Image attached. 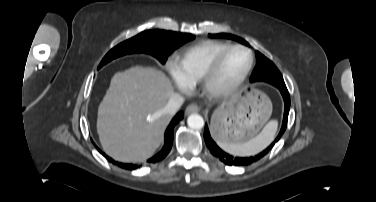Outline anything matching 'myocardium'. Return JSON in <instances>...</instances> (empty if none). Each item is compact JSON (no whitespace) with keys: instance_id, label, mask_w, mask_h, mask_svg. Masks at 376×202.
Wrapping results in <instances>:
<instances>
[{"instance_id":"1","label":"myocardium","mask_w":376,"mask_h":202,"mask_svg":"<svg viewBox=\"0 0 376 202\" xmlns=\"http://www.w3.org/2000/svg\"><path fill=\"white\" fill-rule=\"evenodd\" d=\"M244 50L248 53L249 55V63L243 73L232 83L220 87L217 86L215 81L217 78V75L222 67V64L226 57L234 50ZM254 64V55L251 49L240 45V44H235L231 45L228 48H226L224 51H222L217 58L211 63V65L208 67L206 72L204 73L201 83H202V88L205 94L212 98V99H224L235 93L245 82L247 79L252 67Z\"/></svg>"}]
</instances>
